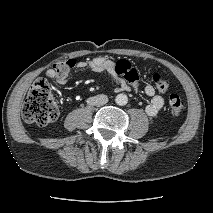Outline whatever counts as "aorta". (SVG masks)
<instances>
[{"label": "aorta", "instance_id": "aorta-1", "mask_svg": "<svg viewBox=\"0 0 213 213\" xmlns=\"http://www.w3.org/2000/svg\"><path fill=\"white\" fill-rule=\"evenodd\" d=\"M115 102L120 106H124L128 103V97L125 94H118L115 98Z\"/></svg>", "mask_w": 213, "mask_h": 213}]
</instances>
